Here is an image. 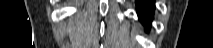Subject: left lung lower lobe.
Segmentation results:
<instances>
[{"label": "left lung lower lobe", "instance_id": "0a47b994", "mask_svg": "<svg viewBox=\"0 0 213 48\" xmlns=\"http://www.w3.org/2000/svg\"><path fill=\"white\" fill-rule=\"evenodd\" d=\"M153 0H137V10L142 22L149 23L152 20L154 10Z\"/></svg>", "mask_w": 213, "mask_h": 48}]
</instances>
